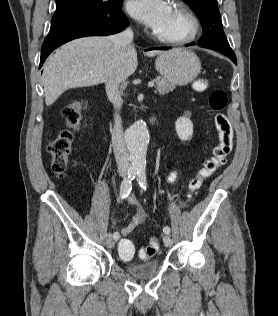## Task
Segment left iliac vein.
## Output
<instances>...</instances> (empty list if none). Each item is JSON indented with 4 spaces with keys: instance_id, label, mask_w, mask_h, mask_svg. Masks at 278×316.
Returning <instances> with one entry per match:
<instances>
[{
    "instance_id": "4c4485c4",
    "label": "left iliac vein",
    "mask_w": 278,
    "mask_h": 316,
    "mask_svg": "<svg viewBox=\"0 0 278 316\" xmlns=\"http://www.w3.org/2000/svg\"><path fill=\"white\" fill-rule=\"evenodd\" d=\"M163 242H164V245L166 247H171L172 246V239L169 235H165L164 238H163Z\"/></svg>"
}]
</instances>
